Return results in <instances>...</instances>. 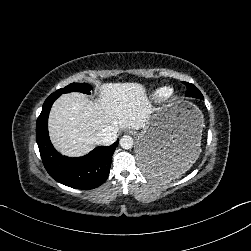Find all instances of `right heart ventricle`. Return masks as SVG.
<instances>
[{
  "label": "right heart ventricle",
  "instance_id": "right-heart-ventricle-1",
  "mask_svg": "<svg viewBox=\"0 0 251 251\" xmlns=\"http://www.w3.org/2000/svg\"><path fill=\"white\" fill-rule=\"evenodd\" d=\"M174 95V89L170 86H162L154 89L150 93V100L153 103H162Z\"/></svg>",
  "mask_w": 251,
  "mask_h": 251
}]
</instances>
